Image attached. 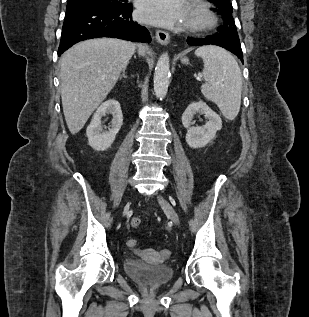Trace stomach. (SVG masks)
<instances>
[{
  "instance_id": "1",
  "label": "stomach",
  "mask_w": 309,
  "mask_h": 317,
  "mask_svg": "<svg viewBox=\"0 0 309 317\" xmlns=\"http://www.w3.org/2000/svg\"><path fill=\"white\" fill-rule=\"evenodd\" d=\"M181 61H182V63H184V64L188 63V59H187V58H183Z\"/></svg>"
}]
</instances>
